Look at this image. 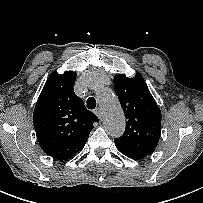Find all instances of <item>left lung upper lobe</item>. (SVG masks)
Listing matches in <instances>:
<instances>
[{
    "mask_svg": "<svg viewBox=\"0 0 203 203\" xmlns=\"http://www.w3.org/2000/svg\"><path fill=\"white\" fill-rule=\"evenodd\" d=\"M114 90L127 119L125 132L115 144L146 157L160 139L161 111L140 74L133 78L116 75Z\"/></svg>",
    "mask_w": 203,
    "mask_h": 203,
    "instance_id": "5c2ea615",
    "label": "left lung upper lobe"
}]
</instances>
